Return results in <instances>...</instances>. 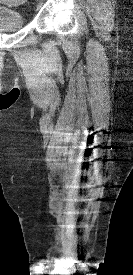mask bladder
<instances>
[{"instance_id":"obj_1","label":"bladder","mask_w":133,"mask_h":275,"mask_svg":"<svg viewBox=\"0 0 133 275\" xmlns=\"http://www.w3.org/2000/svg\"><path fill=\"white\" fill-rule=\"evenodd\" d=\"M25 24L24 16L19 10L0 5V32L16 31Z\"/></svg>"}]
</instances>
